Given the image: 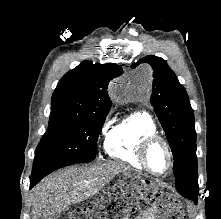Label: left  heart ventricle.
I'll return each mask as SVG.
<instances>
[{
    "instance_id": "b2bd125f",
    "label": "left heart ventricle",
    "mask_w": 221,
    "mask_h": 219,
    "mask_svg": "<svg viewBox=\"0 0 221 219\" xmlns=\"http://www.w3.org/2000/svg\"><path fill=\"white\" fill-rule=\"evenodd\" d=\"M148 161L152 169L157 173H164L169 165L167 152L163 145L155 144L148 152Z\"/></svg>"
}]
</instances>
